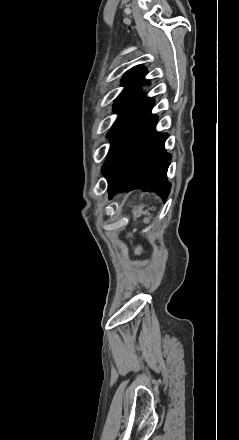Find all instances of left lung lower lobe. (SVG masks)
<instances>
[{"label": "left lung lower lobe", "instance_id": "0a47b994", "mask_svg": "<svg viewBox=\"0 0 239 440\" xmlns=\"http://www.w3.org/2000/svg\"><path fill=\"white\" fill-rule=\"evenodd\" d=\"M153 105V100L141 98L107 134L112 142L103 173L110 199L137 188L157 191L164 200L168 197L171 155L164 149L167 134L155 131L158 117L151 114Z\"/></svg>", "mask_w": 239, "mask_h": 440}]
</instances>
